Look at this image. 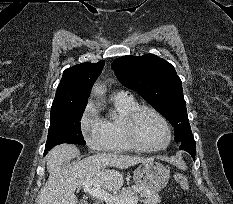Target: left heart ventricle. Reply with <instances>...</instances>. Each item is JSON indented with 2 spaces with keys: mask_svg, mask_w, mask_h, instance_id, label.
<instances>
[{
  "mask_svg": "<svg viewBox=\"0 0 233 204\" xmlns=\"http://www.w3.org/2000/svg\"><path fill=\"white\" fill-rule=\"evenodd\" d=\"M140 143L148 148H156L166 141V129L160 119L150 112L142 113L136 124Z\"/></svg>",
  "mask_w": 233,
  "mask_h": 204,
  "instance_id": "left-heart-ventricle-1",
  "label": "left heart ventricle"
}]
</instances>
